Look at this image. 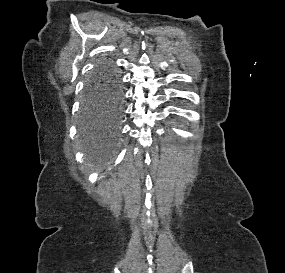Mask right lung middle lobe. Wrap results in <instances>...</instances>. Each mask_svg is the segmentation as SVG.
I'll return each mask as SVG.
<instances>
[{
	"label": "right lung middle lobe",
	"mask_w": 285,
	"mask_h": 273,
	"mask_svg": "<svg viewBox=\"0 0 285 273\" xmlns=\"http://www.w3.org/2000/svg\"><path fill=\"white\" fill-rule=\"evenodd\" d=\"M118 75L113 71L110 63L103 62L94 70L86 82L82 101L84 120L82 123L86 132L92 133L100 128L102 112L109 97H114L110 115L114 119L120 116L118 101Z\"/></svg>",
	"instance_id": "obj_1"
}]
</instances>
